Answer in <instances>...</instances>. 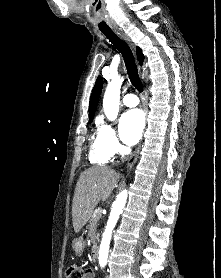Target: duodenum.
I'll list each match as a JSON object with an SVG mask.
<instances>
[{
	"mask_svg": "<svg viewBox=\"0 0 221 278\" xmlns=\"http://www.w3.org/2000/svg\"><path fill=\"white\" fill-rule=\"evenodd\" d=\"M99 254V246L97 244H94L91 248V255L95 259L98 257Z\"/></svg>",
	"mask_w": 221,
	"mask_h": 278,
	"instance_id": "duodenum-1",
	"label": "duodenum"
}]
</instances>
